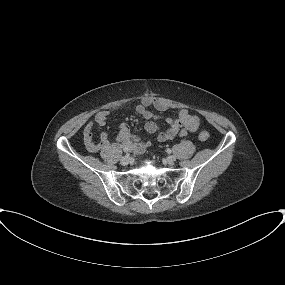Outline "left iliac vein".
<instances>
[{"label": "left iliac vein", "mask_w": 285, "mask_h": 285, "mask_svg": "<svg viewBox=\"0 0 285 285\" xmlns=\"http://www.w3.org/2000/svg\"><path fill=\"white\" fill-rule=\"evenodd\" d=\"M166 160L168 164H173L176 158L174 156H168Z\"/></svg>", "instance_id": "obj_1"}]
</instances>
